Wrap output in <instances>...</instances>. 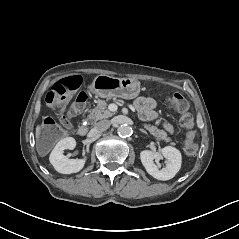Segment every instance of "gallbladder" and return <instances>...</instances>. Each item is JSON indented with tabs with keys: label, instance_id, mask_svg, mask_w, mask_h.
Returning a JSON list of instances; mask_svg holds the SVG:
<instances>
[{
	"label": "gallbladder",
	"instance_id": "obj_1",
	"mask_svg": "<svg viewBox=\"0 0 239 239\" xmlns=\"http://www.w3.org/2000/svg\"><path fill=\"white\" fill-rule=\"evenodd\" d=\"M42 148H44V149H46V150L48 149L45 145H41V146L38 145V146H37V151H38V154H39V155H41V150H42Z\"/></svg>",
	"mask_w": 239,
	"mask_h": 239
}]
</instances>
